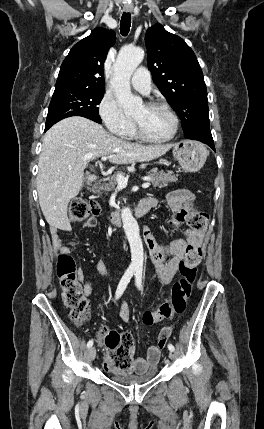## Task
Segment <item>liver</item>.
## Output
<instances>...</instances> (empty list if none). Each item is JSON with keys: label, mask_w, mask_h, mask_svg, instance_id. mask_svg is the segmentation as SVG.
Here are the masks:
<instances>
[{"label": "liver", "mask_w": 264, "mask_h": 429, "mask_svg": "<svg viewBox=\"0 0 264 429\" xmlns=\"http://www.w3.org/2000/svg\"><path fill=\"white\" fill-rule=\"evenodd\" d=\"M172 146L127 142L84 117L61 120L45 133L38 163L37 191L46 221L51 227L71 230L68 204L82 189L84 170L90 161L108 156L114 164L149 162Z\"/></svg>", "instance_id": "1"}]
</instances>
